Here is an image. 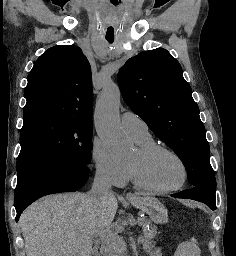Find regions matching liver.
<instances>
[{"mask_svg":"<svg viewBox=\"0 0 236 256\" xmlns=\"http://www.w3.org/2000/svg\"><path fill=\"white\" fill-rule=\"evenodd\" d=\"M116 198L96 202L91 194L45 196L20 218L26 256H91L94 234L111 224Z\"/></svg>","mask_w":236,"mask_h":256,"instance_id":"obj_1","label":"liver"}]
</instances>
